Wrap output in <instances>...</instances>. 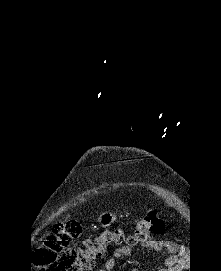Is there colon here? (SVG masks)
<instances>
[{
  "mask_svg": "<svg viewBox=\"0 0 221 271\" xmlns=\"http://www.w3.org/2000/svg\"><path fill=\"white\" fill-rule=\"evenodd\" d=\"M165 228L163 221L149 213L136 221L128 236L120 229L106 230L85 239L81 246L70 247V241L81 236L82 227L75 219H65L56 223L53 232L43 239L34 252L33 262L39 271H91L111 245L134 246L162 234Z\"/></svg>",
  "mask_w": 221,
  "mask_h": 271,
  "instance_id": "5ec220e1",
  "label": "colon"
}]
</instances>
